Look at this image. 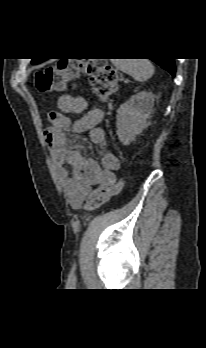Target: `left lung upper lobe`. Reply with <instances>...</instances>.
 Masks as SVG:
<instances>
[{"mask_svg":"<svg viewBox=\"0 0 206 348\" xmlns=\"http://www.w3.org/2000/svg\"><path fill=\"white\" fill-rule=\"evenodd\" d=\"M43 60H37V59H32V64H38L42 62Z\"/></svg>","mask_w":206,"mask_h":348,"instance_id":"obj_1","label":"left lung upper lobe"}]
</instances>
